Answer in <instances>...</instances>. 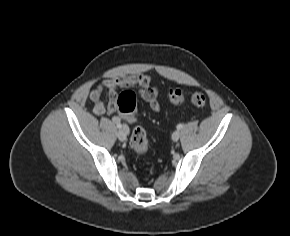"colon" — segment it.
<instances>
[{"label": "colon", "instance_id": "obj_1", "mask_svg": "<svg viewBox=\"0 0 290 236\" xmlns=\"http://www.w3.org/2000/svg\"><path fill=\"white\" fill-rule=\"evenodd\" d=\"M169 100L172 104L180 105L189 102L193 106L203 107L207 98L202 92H194L190 96H185L181 90H171L169 93ZM116 107L129 120L135 119L136 112V96L131 90L121 92L117 96ZM131 149L137 154H144L149 148V139L146 130L141 126L134 127L129 141Z\"/></svg>", "mask_w": 290, "mask_h": 236}]
</instances>
